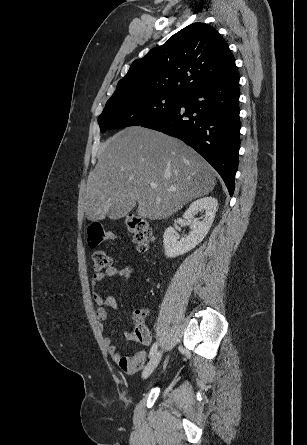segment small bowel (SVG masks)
<instances>
[{
	"mask_svg": "<svg viewBox=\"0 0 307 445\" xmlns=\"http://www.w3.org/2000/svg\"><path fill=\"white\" fill-rule=\"evenodd\" d=\"M131 275H132V270L129 266H124V267L110 266L105 271L95 272L92 275V285L94 288H96L98 284L102 282L106 277L109 278L119 277L121 279H128L131 277ZM93 298L96 304V315L100 321L107 320L108 309L112 311L117 310L118 305L114 297L112 296L103 297L100 293L95 291ZM125 337L127 339L133 340L132 332H125ZM104 342L107 346L111 358L113 359L114 362H116L119 365V367L124 372L133 374L141 369L146 360V353L144 351H139L134 356L127 357L118 351L117 346L114 343H112L110 338L106 337L104 339Z\"/></svg>",
	"mask_w": 307,
	"mask_h": 445,
	"instance_id": "obj_1",
	"label": "small bowel"
}]
</instances>
